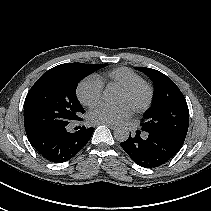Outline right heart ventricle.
<instances>
[{
    "label": "right heart ventricle",
    "instance_id": "obj_1",
    "mask_svg": "<svg viewBox=\"0 0 211 211\" xmlns=\"http://www.w3.org/2000/svg\"><path fill=\"white\" fill-rule=\"evenodd\" d=\"M96 77L102 84H115L121 88L144 81L139 74L127 67L114 68Z\"/></svg>",
    "mask_w": 211,
    "mask_h": 211
}]
</instances>
